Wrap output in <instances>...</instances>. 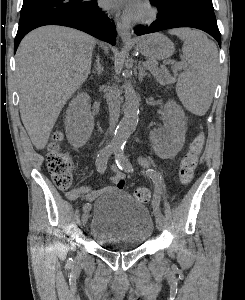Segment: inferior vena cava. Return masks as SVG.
<instances>
[{
  "label": "inferior vena cava",
  "instance_id": "obj_1",
  "mask_svg": "<svg viewBox=\"0 0 245 300\" xmlns=\"http://www.w3.org/2000/svg\"><path fill=\"white\" fill-rule=\"evenodd\" d=\"M107 104L109 108V134H112L119 119L121 97L119 89L113 85L108 89Z\"/></svg>",
  "mask_w": 245,
  "mask_h": 300
}]
</instances>
